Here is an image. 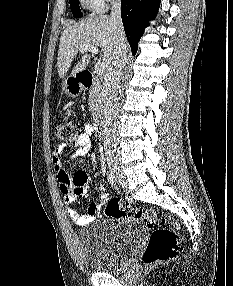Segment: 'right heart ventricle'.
<instances>
[{
    "mask_svg": "<svg viewBox=\"0 0 233 286\" xmlns=\"http://www.w3.org/2000/svg\"><path fill=\"white\" fill-rule=\"evenodd\" d=\"M82 4L84 7L88 8V9H92L91 3L89 0H81Z\"/></svg>",
    "mask_w": 233,
    "mask_h": 286,
    "instance_id": "obj_1",
    "label": "right heart ventricle"
}]
</instances>
